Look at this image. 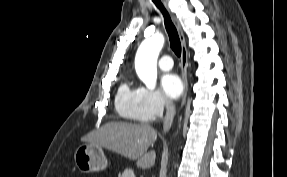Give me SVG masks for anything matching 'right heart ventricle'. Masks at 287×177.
Here are the masks:
<instances>
[{
  "label": "right heart ventricle",
  "instance_id": "1",
  "mask_svg": "<svg viewBox=\"0 0 287 177\" xmlns=\"http://www.w3.org/2000/svg\"><path fill=\"white\" fill-rule=\"evenodd\" d=\"M115 109L126 120L144 122L147 119L142 114L140 90L128 81L123 82L115 97Z\"/></svg>",
  "mask_w": 287,
  "mask_h": 177
}]
</instances>
